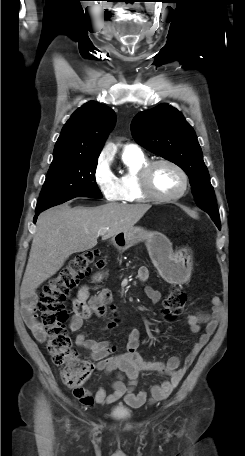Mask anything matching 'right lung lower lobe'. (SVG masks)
<instances>
[{
	"label": "right lung lower lobe",
	"mask_w": 245,
	"mask_h": 456,
	"mask_svg": "<svg viewBox=\"0 0 245 456\" xmlns=\"http://www.w3.org/2000/svg\"><path fill=\"white\" fill-rule=\"evenodd\" d=\"M41 212H42V211H38V212H36V215H35V217H34V223H36V220H37V216H38V215H39Z\"/></svg>",
	"instance_id": "1"
}]
</instances>
